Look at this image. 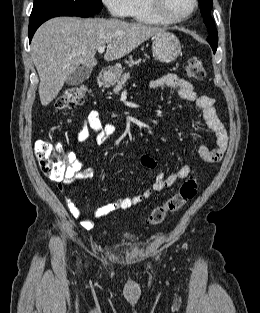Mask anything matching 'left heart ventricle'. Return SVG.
Returning <instances> with one entry per match:
<instances>
[{
    "instance_id": "b2bd125f",
    "label": "left heart ventricle",
    "mask_w": 260,
    "mask_h": 313,
    "mask_svg": "<svg viewBox=\"0 0 260 313\" xmlns=\"http://www.w3.org/2000/svg\"><path fill=\"white\" fill-rule=\"evenodd\" d=\"M193 5V0H162V9L170 17H178L188 12Z\"/></svg>"
}]
</instances>
